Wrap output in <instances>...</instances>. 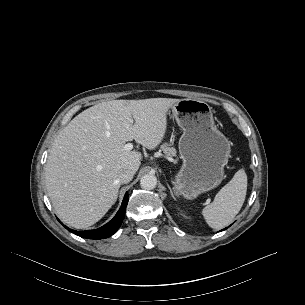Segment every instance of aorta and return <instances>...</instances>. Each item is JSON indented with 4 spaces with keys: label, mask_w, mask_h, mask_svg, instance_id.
<instances>
[{
    "label": "aorta",
    "mask_w": 305,
    "mask_h": 305,
    "mask_svg": "<svg viewBox=\"0 0 305 305\" xmlns=\"http://www.w3.org/2000/svg\"><path fill=\"white\" fill-rule=\"evenodd\" d=\"M140 185L143 189L152 190L157 185V178L153 174H146L141 177Z\"/></svg>",
    "instance_id": "obj_1"
}]
</instances>
